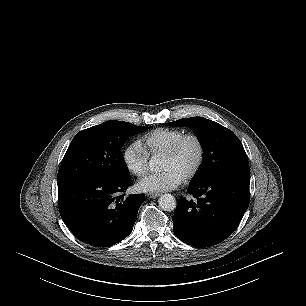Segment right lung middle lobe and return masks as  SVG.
Returning a JSON list of instances; mask_svg holds the SVG:
<instances>
[{"label":"right lung middle lobe","instance_id":"1","mask_svg":"<svg viewBox=\"0 0 306 306\" xmlns=\"http://www.w3.org/2000/svg\"><path fill=\"white\" fill-rule=\"evenodd\" d=\"M149 127L107 121L76 134L58 171V188L86 177H129L121 148L126 140Z\"/></svg>","mask_w":306,"mask_h":306}]
</instances>
